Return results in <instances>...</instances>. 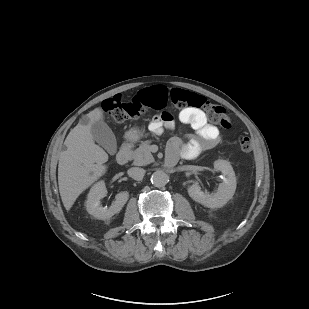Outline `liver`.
<instances>
[{
  "instance_id": "obj_1",
  "label": "liver",
  "mask_w": 309,
  "mask_h": 309,
  "mask_svg": "<svg viewBox=\"0 0 309 309\" xmlns=\"http://www.w3.org/2000/svg\"><path fill=\"white\" fill-rule=\"evenodd\" d=\"M68 134L66 150L59 156L58 185L66 210H70L78 196L105 174L108 154L95 144L91 126L103 118L101 108H95Z\"/></svg>"
}]
</instances>
